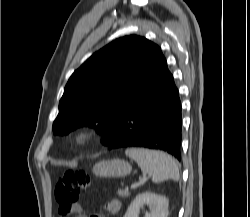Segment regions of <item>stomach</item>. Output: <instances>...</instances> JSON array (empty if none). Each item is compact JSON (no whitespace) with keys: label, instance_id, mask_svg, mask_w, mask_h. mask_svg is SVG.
<instances>
[{"label":"stomach","instance_id":"1","mask_svg":"<svg viewBox=\"0 0 250 217\" xmlns=\"http://www.w3.org/2000/svg\"><path fill=\"white\" fill-rule=\"evenodd\" d=\"M92 171L99 177L120 178L129 175L132 171V166L124 160L113 159L98 162L93 166Z\"/></svg>","mask_w":250,"mask_h":217}]
</instances>
